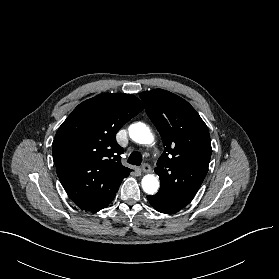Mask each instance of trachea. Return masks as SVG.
<instances>
[{
	"label": "trachea",
	"instance_id": "3493384b",
	"mask_svg": "<svg viewBox=\"0 0 279 279\" xmlns=\"http://www.w3.org/2000/svg\"><path fill=\"white\" fill-rule=\"evenodd\" d=\"M141 162H142V156L139 152L134 151L130 154L128 158V163L139 166Z\"/></svg>",
	"mask_w": 279,
	"mask_h": 279
}]
</instances>
